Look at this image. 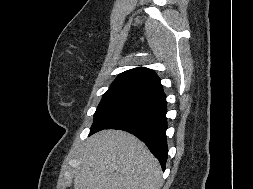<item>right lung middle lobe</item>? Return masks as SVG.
Listing matches in <instances>:
<instances>
[{
    "mask_svg": "<svg viewBox=\"0 0 253 189\" xmlns=\"http://www.w3.org/2000/svg\"><path fill=\"white\" fill-rule=\"evenodd\" d=\"M145 91L129 89V88H112L104 95L94 114V122L92 127L96 126L100 121L111 113L127 106L145 95Z\"/></svg>",
    "mask_w": 253,
    "mask_h": 189,
    "instance_id": "dd1d6c3e",
    "label": "right lung middle lobe"
}]
</instances>
